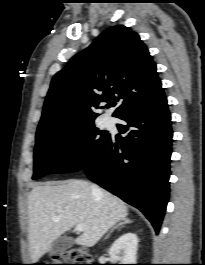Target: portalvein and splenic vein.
<instances>
[{
    "label": "portal vein and splenic vein",
    "mask_w": 205,
    "mask_h": 265,
    "mask_svg": "<svg viewBox=\"0 0 205 265\" xmlns=\"http://www.w3.org/2000/svg\"><path fill=\"white\" fill-rule=\"evenodd\" d=\"M75 229L78 231V232H83L84 231V226L83 225H77L76 227H75Z\"/></svg>",
    "instance_id": "portal-vein-and-splenic-vein-1"
}]
</instances>
